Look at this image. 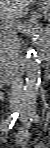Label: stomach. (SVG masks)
<instances>
[{
	"label": "stomach",
	"mask_w": 50,
	"mask_h": 148,
	"mask_svg": "<svg viewBox=\"0 0 50 148\" xmlns=\"http://www.w3.org/2000/svg\"><path fill=\"white\" fill-rule=\"evenodd\" d=\"M44 4L49 7L50 6V1L46 0V1H44Z\"/></svg>",
	"instance_id": "stomach-1"
}]
</instances>
